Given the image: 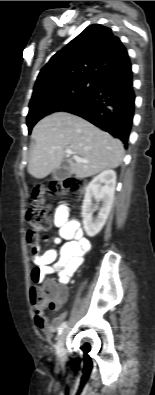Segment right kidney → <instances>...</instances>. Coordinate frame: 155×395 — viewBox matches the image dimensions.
Returning <instances> with one entry per match:
<instances>
[{"mask_svg": "<svg viewBox=\"0 0 155 395\" xmlns=\"http://www.w3.org/2000/svg\"><path fill=\"white\" fill-rule=\"evenodd\" d=\"M115 185V171L105 170L94 177L87 186L81 214L84 229L88 236L94 237L103 228L113 204ZM92 199L96 200L97 205L102 201V207L95 219L93 213L98 209V206H93Z\"/></svg>", "mask_w": 155, "mask_h": 395, "instance_id": "right-kidney-1", "label": "right kidney"}]
</instances>
